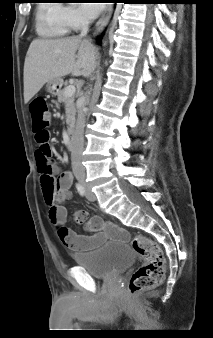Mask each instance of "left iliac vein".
Masks as SVG:
<instances>
[{
	"instance_id": "obj_1",
	"label": "left iliac vein",
	"mask_w": 213,
	"mask_h": 338,
	"mask_svg": "<svg viewBox=\"0 0 213 338\" xmlns=\"http://www.w3.org/2000/svg\"><path fill=\"white\" fill-rule=\"evenodd\" d=\"M85 190H86V197L89 201H95L96 200V196L95 194L90 190V188L88 187V185H84Z\"/></svg>"
}]
</instances>
